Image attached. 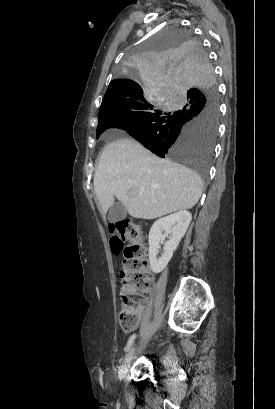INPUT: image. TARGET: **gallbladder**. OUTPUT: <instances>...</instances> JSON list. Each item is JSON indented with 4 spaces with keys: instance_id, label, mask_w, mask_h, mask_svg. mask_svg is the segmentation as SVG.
<instances>
[{
    "instance_id": "gallbladder-1",
    "label": "gallbladder",
    "mask_w": 275,
    "mask_h": 409,
    "mask_svg": "<svg viewBox=\"0 0 275 409\" xmlns=\"http://www.w3.org/2000/svg\"><path fill=\"white\" fill-rule=\"evenodd\" d=\"M127 217V209L122 205V202H114L113 207H111L108 213L109 223H117V221H123Z\"/></svg>"
}]
</instances>
